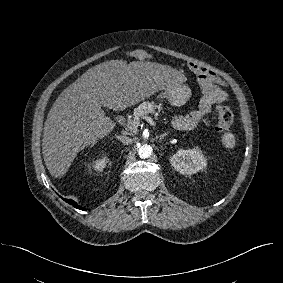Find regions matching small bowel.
<instances>
[{"instance_id": "c3829d8e", "label": "small bowel", "mask_w": 283, "mask_h": 283, "mask_svg": "<svg viewBox=\"0 0 283 283\" xmlns=\"http://www.w3.org/2000/svg\"><path fill=\"white\" fill-rule=\"evenodd\" d=\"M189 68L198 77L203 96L197 111L173 118L174 126L180 130H186L202 123L214 103L227 100L226 93L219 86L220 80L213 71L196 63L189 64Z\"/></svg>"}]
</instances>
